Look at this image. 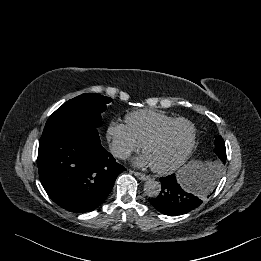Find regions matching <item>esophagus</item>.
Returning a JSON list of instances; mask_svg holds the SVG:
<instances>
[{
	"label": "esophagus",
	"mask_w": 261,
	"mask_h": 261,
	"mask_svg": "<svg viewBox=\"0 0 261 261\" xmlns=\"http://www.w3.org/2000/svg\"><path fill=\"white\" fill-rule=\"evenodd\" d=\"M133 173H134V175H135L138 179H140V180H142V181L147 180V179L149 178V176H147V175H145V174H143V173H140V172H135V171H133Z\"/></svg>",
	"instance_id": "1"
}]
</instances>
